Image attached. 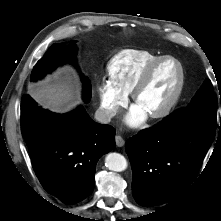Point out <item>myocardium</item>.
I'll return each instance as SVG.
<instances>
[{
	"label": "myocardium",
	"mask_w": 221,
	"mask_h": 221,
	"mask_svg": "<svg viewBox=\"0 0 221 221\" xmlns=\"http://www.w3.org/2000/svg\"><path fill=\"white\" fill-rule=\"evenodd\" d=\"M169 60L175 62L178 66V69H179L178 83L170 100L163 107L149 114V116L153 119L166 117L178 104L182 96V93L185 87V82H186V74H185V69H184L182 62L176 57L170 56V55L161 56L155 59L147 66V68L145 69V71L143 72V74L141 75V77L139 78V80L137 81V83L135 84L131 92L132 100L134 103H136L140 93L148 85L155 69L163 62L169 61Z\"/></svg>",
	"instance_id": "1"
}]
</instances>
